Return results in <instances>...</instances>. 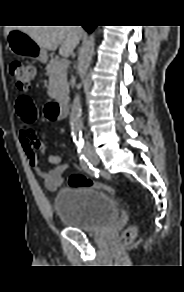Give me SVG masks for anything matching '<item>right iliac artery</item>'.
Instances as JSON below:
<instances>
[{
    "instance_id": "right-iliac-artery-1",
    "label": "right iliac artery",
    "mask_w": 184,
    "mask_h": 292,
    "mask_svg": "<svg viewBox=\"0 0 184 292\" xmlns=\"http://www.w3.org/2000/svg\"><path fill=\"white\" fill-rule=\"evenodd\" d=\"M79 153V161H80V165L82 167V169L87 172L88 174L94 176V177H98V171L97 169H95L92 164L88 161V159L86 158V156L80 151L78 150Z\"/></svg>"
}]
</instances>
